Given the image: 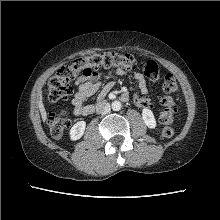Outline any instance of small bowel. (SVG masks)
I'll list each match as a JSON object with an SVG mask.
<instances>
[{
    "label": "small bowel",
    "mask_w": 220,
    "mask_h": 220,
    "mask_svg": "<svg viewBox=\"0 0 220 220\" xmlns=\"http://www.w3.org/2000/svg\"><path fill=\"white\" fill-rule=\"evenodd\" d=\"M116 74L119 76L126 75L125 70L121 68L116 69ZM104 73L101 69H97L90 74H80L75 80L77 85V91L72 99L73 110L76 115L87 116L94 112L95 107L93 105L86 104L89 97L94 95L100 89ZM139 88V93L135 94L133 99L139 107H149L151 105L150 99L146 96L147 84L141 73H135L134 75ZM113 82L107 83L101 90L99 95V101L113 88Z\"/></svg>",
    "instance_id": "c3829d8e"
}]
</instances>
